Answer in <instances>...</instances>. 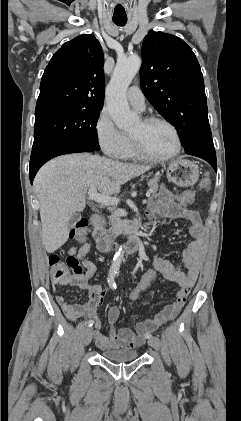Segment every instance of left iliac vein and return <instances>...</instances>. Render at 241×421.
<instances>
[{
	"label": "left iliac vein",
	"mask_w": 241,
	"mask_h": 421,
	"mask_svg": "<svg viewBox=\"0 0 241 421\" xmlns=\"http://www.w3.org/2000/svg\"><path fill=\"white\" fill-rule=\"evenodd\" d=\"M148 344L153 347L155 350L160 349V341L157 337H152L149 339Z\"/></svg>",
	"instance_id": "obj_1"
}]
</instances>
